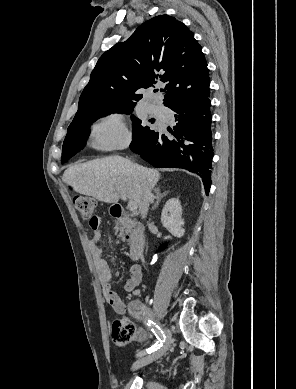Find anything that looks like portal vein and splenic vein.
I'll return each mask as SVG.
<instances>
[{
	"label": "portal vein and splenic vein",
	"mask_w": 296,
	"mask_h": 389,
	"mask_svg": "<svg viewBox=\"0 0 296 389\" xmlns=\"http://www.w3.org/2000/svg\"><path fill=\"white\" fill-rule=\"evenodd\" d=\"M120 196L121 198L124 200V201H127V197L125 195L124 192H121L120 191ZM127 208L131 211V212H134L136 209H137V205L135 202L133 201H129L128 204H127Z\"/></svg>",
	"instance_id": "18ae733b"
}]
</instances>
